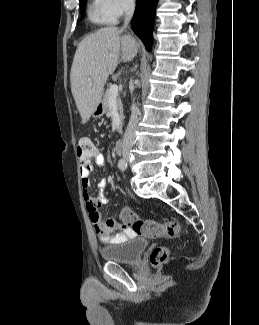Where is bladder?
<instances>
[{"label":"bladder","instance_id":"1","mask_svg":"<svg viewBox=\"0 0 259 325\" xmlns=\"http://www.w3.org/2000/svg\"><path fill=\"white\" fill-rule=\"evenodd\" d=\"M147 245L146 238L136 237L122 243L102 247L100 255L107 262L135 264L140 260Z\"/></svg>","mask_w":259,"mask_h":325}]
</instances>
